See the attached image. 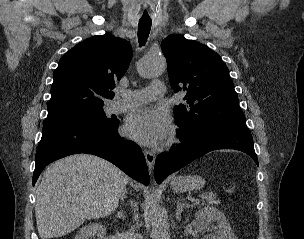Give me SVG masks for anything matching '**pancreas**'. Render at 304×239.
<instances>
[{
	"label": "pancreas",
	"mask_w": 304,
	"mask_h": 239,
	"mask_svg": "<svg viewBox=\"0 0 304 239\" xmlns=\"http://www.w3.org/2000/svg\"><path fill=\"white\" fill-rule=\"evenodd\" d=\"M205 199L209 205H213V204L217 205L220 203V201L216 198V196H214L212 194L206 195Z\"/></svg>",
	"instance_id": "cf45deb5"
}]
</instances>
